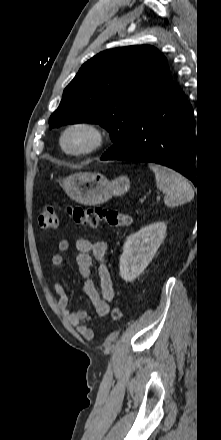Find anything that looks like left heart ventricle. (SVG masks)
<instances>
[{
	"label": "left heart ventricle",
	"instance_id": "obj_1",
	"mask_svg": "<svg viewBox=\"0 0 221 440\" xmlns=\"http://www.w3.org/2000/svg\"><path fill=\"white\" fill-rule=\"evenodd\" d=\"M65 143L69 148H79L86 143V137L81 132H73L67 136Z\"/></svg>",
	"mask_w": 221,
	"mask_h": 440
}]
</instances>
